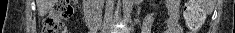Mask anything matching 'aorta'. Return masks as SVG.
<instances>
[{"instance_id": "obj_1", "label": "aorta", "mask_w": 235, "mask_h": 33, "mask_svg": "<svg viewBox=\"0 0 235 33\" xmlns=\"http://www.w3.org/2000/svg\"><path fill=\"white\" fill-rule=\"evenodd\" d=\"M134 0H123V15L125 18H129L132 12Z\"/></svg>"}]
</instances>
